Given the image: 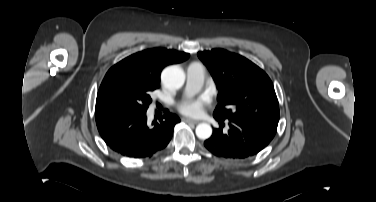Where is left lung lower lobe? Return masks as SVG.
<instances>
[{"label": "left lung lower lobe", "mask_w": 376, "mask_h": 202, "mask_svg": "<svg viewBox=\"0 0 376 202\" xmlns=\"http://www.w3.org/2000/svg\"><path fill=\"white\" fill-rule=\"evenodd\" d=\"M221 125L223 121L215 117ZM227 132L222 127L215 129L212 136L204 142L205 147L216 156L243 159L264 149L275 136L277 128L254 121L231 119Z\"/></svg>", "instance_id": "1"}]
</instances>
